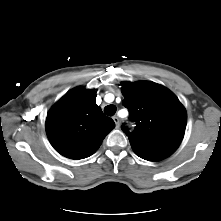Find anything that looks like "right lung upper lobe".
Returning a JSON list of instances; mask_svg holds the SVG:
<instances>
[{
	"mask_svg": "<svg viewBox=\"0 0 221 221\" xmlns=\"http://www.w3.org/2000/svg\"><path fill=\"white\" fill-rule=\"evenodd\" d=\"M115 127L96 104V92L76 87L49 111L46 133L52 146L70 159L91 156Z\"/></svg>",
	"mask_w": 221,
	"mask_h": 221,
	"instance_id": "1",
	"label": "right lung upper lobe"
}]
</instances>
